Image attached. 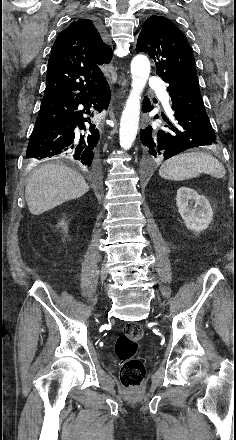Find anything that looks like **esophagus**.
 <instances>
[{
	"mask_svg": "<svg viewBox=\"0 0 236 440\" xmlns=\"http://www.w3.org/2000/svg\"><path fill=\"white\" fill-rule=\"evenodd\" d=\"M120 85L122 92H125V88L127 86V80L125 79L124 75L120 79Z\"/></svg>",
	"mask_w": 236,
	"mask_h": 440,
	"instance_id": "obj_1",
	"label": "esophagus"
}]
</instances>
